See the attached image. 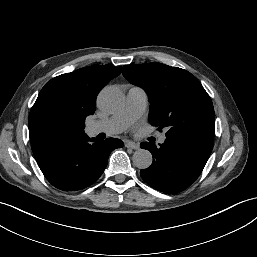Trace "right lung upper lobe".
<instances>
[{"instance_id":"obj_1","label":"right lung upper lobe","mask_w":257,"mask_h":257,"mask_svg":"<svg viewBox=\"0 0 257 257\" xmlns=\"http://www.w3.org/2000/svg\"><path fill=\"white\" fill-rule=\"evenodd\" d=\"M120 73L121 67L88 66L51 79L29 114L33 153L64 138L84 136V121L95 112L98 91Z\"/></svg>"}]
</instances>
